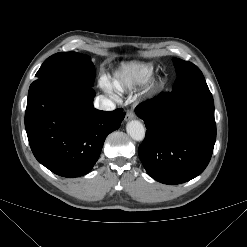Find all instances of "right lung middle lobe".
<instances>
[{
	"label": "right lung middle lobe",
	"instance_id": "1",
	"mask_svg": "<svg viewBox=\"0 0 247 247\" xmlns=\"http://www.w3.org/2000/svg\"><path fill=\"white\" fill-rule=\"evenodd\" d=\"M38 79H57L93 86L95 69L89 57L76 52H59L47 58L36 73Z\"/></svg>",
	"mask_w": 247,
	"mask_h": 247
}]
</instances>
